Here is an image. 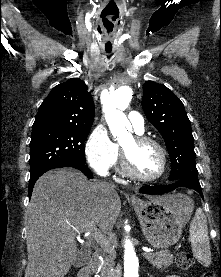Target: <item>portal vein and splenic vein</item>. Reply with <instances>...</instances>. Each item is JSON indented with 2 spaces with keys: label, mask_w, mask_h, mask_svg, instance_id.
I'll return each mask as SVG.
<instances>
[{
  "label": "portal vein and splenic vein",
  "mask_w": 221,
  "mask_h": 277,
  "mask_svg": "<svg viewBox=\"0 0 221 277\" xmlns=\"http://www.w3.org/2000/svg\"><path fill=\"white\" fill-rule=\"evenodd\" d=\"M84 232L87 234H90L91 236L94 237L96 242L103 248L107 247L109 244V241L107 240L106 236L102 234L100 231L96 229L93 223L88 225L86 228H84ZM160 253V252H159ZM159 253H153V252H145L144 256L146 257H152L155 255H158Z\"/></svg>",
  "instance_id": "18ae733b"
}]
</instances>
